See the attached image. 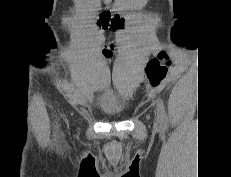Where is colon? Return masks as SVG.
Returning <instances> with one entry per match:
<instances>
[{
    "label": "colon",
    "instance_id": "1",
    "mask_svg": "<svg viewBox=\"0 0 231 177\" xmlns=\"http://www.w3.org/2000/svg\"><path fill=\"white\" fill-rule=\"evenodd\" d=\"M103 26L110 25L112 29H118L123 25V20L119 17L109 19L107 16L102 18ZM164 62H166L164 64ZM170 64L167 54L162 51L158 54L157 58L151 59L146 67L147 78L152 86H157L165 77L167 65Z\"/></svg>",
    "mask_w": 231,
    "mask_h": 177
}]
</instances>
